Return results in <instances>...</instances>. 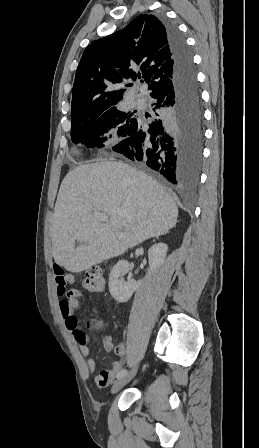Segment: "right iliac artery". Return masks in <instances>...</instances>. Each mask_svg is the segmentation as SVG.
<instances>
[{
    "instance_id": "82829eb1",
    "label": "right iliac artery",
    "mask_w": 259,
    "mask_h": 448,
    "mask_svg": "<svg viewBox=\"0 0 259 448\" xmlns=\"http://www.w3.org/2000/svg\"><path fill=\"white\" fill-rule=\"evenodd\" d=\"M127 374V371L125 370V369H122V370H120L118 373H117V378L119 379V378H121V377H123L124 375H126Z\"/></svg>"
}]
</instances>
